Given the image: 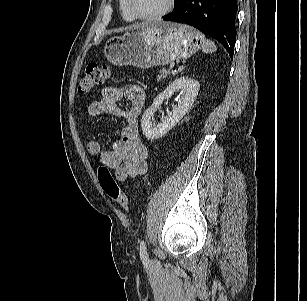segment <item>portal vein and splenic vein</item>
<instances>
[{"mask_svg":"<svg viewBox=\"0 0 307 301\" xmlns=\"http://www.w3.org/2000/svg\"><path fill=\"white\" fill-rule=\"evenodd\" d=\"M170 68H174V63H171V64H170Z\"/></svg>","mask_w":307,"mask_h":301,"instance_id":"1","label":"portal vein and splenic vein"}]
</instances>
